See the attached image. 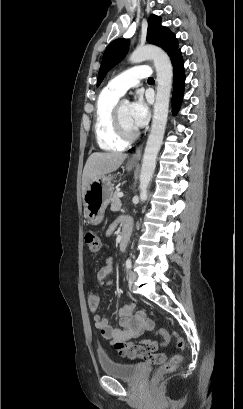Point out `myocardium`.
<instances>
[{
  "label": "myocardium",
  "mask_w": 243,
  "mask_h": 409,
  "mask_svg": "<svg viewBox=\"0 0 243 409\" xmlns=\"http://www.w3.org/2000/svg\"><path fill=\"white\" fill-rule=\"evenodd\" d=\"M123 102H118L113 110L112 123L113 129L116 136L125 143H130L138 137V131L134 130L132 132L127 131L120 119V108Z\"/></svg>",
  "instance_id": "myocardium-1"
}]
</instances>
